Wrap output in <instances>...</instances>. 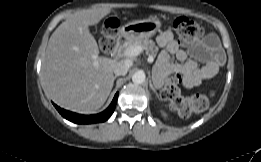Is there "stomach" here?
I'll list each match as a JSON object with an SVG mask.
<instances>
[{"mask_svg": "<svg viewBox=\"0 0 261 162\" xmlns=\"http://www.w3.org/2000/svg\"><path fill=\"white\" fill-rule=\"evenodd\" d=\"M161 27V21L156 18L135 20L121 28V34L128 40L146 39L156 34Z\"/></svg>", "mask_w": 261, "mask_h": 162, "instance_id": "1", "label": "stomach"}]
</instances>
